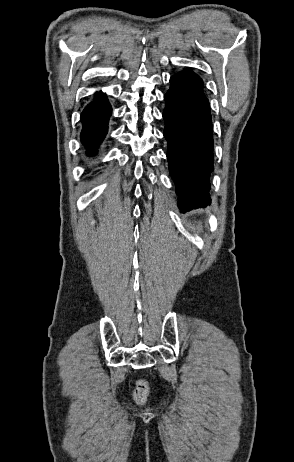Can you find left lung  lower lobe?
Segmentation results:
<instances>
[{
    "instance_id": "left-lung-lower-lobe-1",
    "label": "left lung lower lobe",
    "mask_w": 294,
    "mask_h": 462,
    "mask_svg": "<svg viewBox=\"0 0 294 462\" xmlns=\"http://www.w3.org/2000/svg\"><path fill=\"white\" fill-rule=\"evenodd\" d=\"M164 95V136L167 159L182 211L211 203L209 176L213 170V134L203 81L190 69L170 79Z\"/></svg>"
}]
</instances>
